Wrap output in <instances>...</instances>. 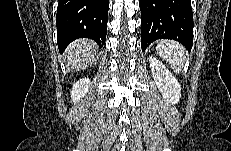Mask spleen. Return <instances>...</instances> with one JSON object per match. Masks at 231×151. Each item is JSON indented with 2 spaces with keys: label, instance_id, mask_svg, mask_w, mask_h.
Instances as JSON below:
<instances>
[{
  "label": "spleen",
  "instance_id": "3e777b00",
  "mask_svg": "<svg viewBox=\"0 0 231 151\" xmlns=\"http://www.w3.org/2000/svg\"><path fill=\"white\" fill-rule=\"evenodd\" d=\"M157 53L165 59L173 68L174 72H180L184 66V47L175 41L161 40L156 46Z\"/></svg>",
  "mask_w": 231,
  "mask_h": 151
}]
</instances>
